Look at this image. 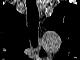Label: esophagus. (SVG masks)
<instances>
[{"label": "esophagus", "instance_id": "esophagus-1", "mask_svg": "<svg viewBox=\"0 0 80 60\" xmlns=\"http://www.w3.org/2000/svg\"><path fill=\"white\" fill-rule=\"evenodd\" d=\"M39 43H40L39 53H40V55H41L42 57H45L42 52H45V53L47 54V50H46L45 47L43 46V43H42V41H41V38L39 39ZM42 49H43V50H42ZM41 53H42V54H41Z\"/></svg>", "mask_w": 80, "mask_h": 60}]
</instances>
